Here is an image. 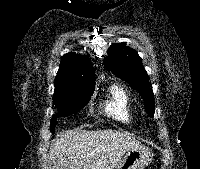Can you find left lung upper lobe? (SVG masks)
I'll list each match as a JSON object with an SVG mask.
<instances>
[{
	"instance_id": "left-lung-upper-lobe-1",
	"label": "left lung upper lobe",
	"mask_w": 200,
	"mask_h": 169,
	"mask_svg": "<svg viewBox=\"0 0 200 169\" xmlns=\"http://www.w3.org/2000/svg\"><path fill=\"white\" fill-rule=\"evenodd\" d=\"M108 57L105 58L106 69L117 74L121 79L127 81L130 86L139 91L144 100L146 112L153 117L154 95L149 88V77L145 71L140 56L125 43L113 44L109 47Z\"/></svg>"
}]
</instances>
